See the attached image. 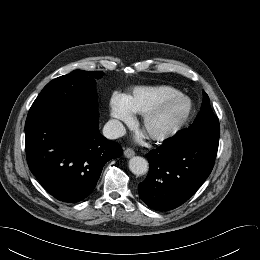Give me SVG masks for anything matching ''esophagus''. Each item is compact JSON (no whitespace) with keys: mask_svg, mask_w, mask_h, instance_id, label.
Returning <instances> with one entry per match:
<instances>
[{"mask_svg":"<svg viewBox=\"0 0 260 260\" xmlns=\"http://www.w3.org/2000/svg\"><path fill=\"white\" fill-rule=\"evenodd\" d=\"M124 155L127 158H131V157H133L135 155V151L133 149H131V148H126L124 150Z\"/></svg>","mask_w":260,"mask_h":260,"instance_id":"esophagus-1","label":"esophagus"}]
</instances>
